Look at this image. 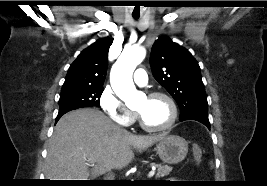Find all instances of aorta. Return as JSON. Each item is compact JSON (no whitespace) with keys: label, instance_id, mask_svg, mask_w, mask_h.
Returning a JSON list of instances; mask_svg holds the SVG:
<instances>
[{"label":"aorta","instance_id":"1","mask_svg":"<svg viewBox=\"0 0 267 186\" xmlns=\"http://www.w3.org/2000/svg\"><path fill=\"white\" fill-rule=\"evenodd\" d=\"M145 56L146 50L144 48L131 47L125 49L112 66L110 73L111 86L116 95L127 105L136 103L141 95L133 83L132 74Z\"/></svg>","mask_w":267,"mask_h":186}]
</instances>
